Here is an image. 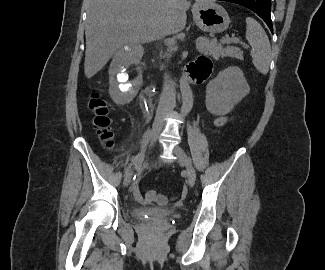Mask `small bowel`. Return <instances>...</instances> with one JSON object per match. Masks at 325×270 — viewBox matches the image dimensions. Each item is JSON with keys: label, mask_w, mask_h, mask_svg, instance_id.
I'll use <instances>...</instances> for the list:
<instances>
[{"label": "small bowel", "mask_w": 325, "mask_h": 270, "mask_svg": "<svg viewBox=\"0 0 325 270\" xmlns=\"http://www.w3.org/2000/svg\"><path fill=\"white\" fill-rule=\"evenodd\" d=\"M212 71V62L206 56H198L192 60L187 66V74L191 80L200 82L205 80ZM227 122V117H218L215 121V125L220 127ZM133 195L137 201H143L142 195L137 187L133 188Z\"/></svg>", "instance_id": "small-bowel-1"}]
</instances>
